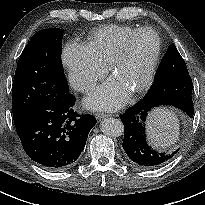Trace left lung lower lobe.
<instances>
[{"label":"left lung lower lobe","instance_id":"obj_1","mask_svg":"<svg viewBox=\"0 0 205 205\" xmlns=\"http://www.w3.org/2000/svg\"><path fill=\"white\" fill-rule=\"evenodd\" d=\"M193 83L190 75H180L154 83L145 97L129 108L120 118L124 124L123 149L137 166L153 168L173 157L179 148L171 153H159L151 149L146 141V121L155 108L174 106L189 117H193Z\"/></svg>","mask_w":205,"mask_h":205}]
</instances>
